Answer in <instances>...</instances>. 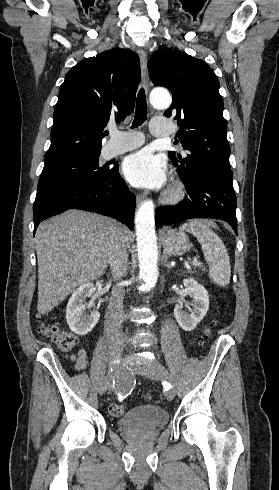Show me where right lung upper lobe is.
Returning <instances> with one entry per match:
<instances>
[{"instance_id": "1", "label": "right lung upper lobe", "mask_w": 279, "mask_h": 490, "mask_svg": "<svg viewBox=\"0 0 279 490\" xmlns=\"http://www.w3.org/2000/svg\"><path fill=\"white\" fill-rule=\"evenodd\" d=\"M139 82V57L129 49L113 48L74 66L60 87L45 163L100 154L105 126L133 111Z\"/></svg>"}]
</instances>
